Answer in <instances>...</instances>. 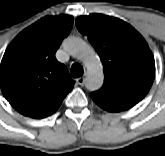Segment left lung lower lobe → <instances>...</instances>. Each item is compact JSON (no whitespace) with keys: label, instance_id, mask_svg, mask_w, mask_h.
<instances>
[{"label":"left lung lower lobe","instance_id":"left-lung-lower-lobe-1","mask_svg":"<svg viewBox=\"0 0 165 156\" xmlns=\"http://www.w3.org/2000/svg\"><path fill=\"white\" fill-rule=\"evenodd\" d=\"M91 97H92L93 101H94L99 107H101L102 109H104V110H106V111H108V112H120V111H118V110L112 108L111 106H109V105H107V104L101 102V101L98 100L97 98H95V97H93V96H91Z\"/></svg>","mask_w":165,"mask_h":156}]
</instances>
